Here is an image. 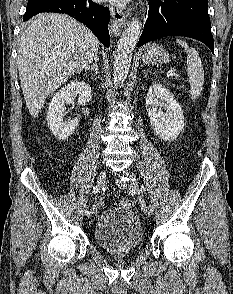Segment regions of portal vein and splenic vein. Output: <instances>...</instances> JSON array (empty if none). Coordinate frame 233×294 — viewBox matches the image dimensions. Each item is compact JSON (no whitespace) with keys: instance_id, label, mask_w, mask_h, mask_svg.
I'll return each mask as SVG.
<instances>
[{"instance_id":"obj_1","label":"portal vein and splenic vein","mask_w":233,"mask_h":294,"mask_svg":"<svg viewBox=\"0 0 233 294\" xmlns=\"http://www.w3.org/2000/svg\"><path fill=\"white\" fill-rule=\"evenodd\" d=\"M173 76H175V77H177V78L180 77L179 74L174 73V71L171 69V70L168 71V73H167V77H173Z\"/></svg>"}]
</instances>
